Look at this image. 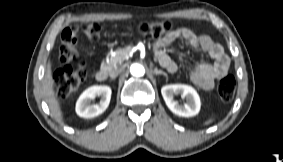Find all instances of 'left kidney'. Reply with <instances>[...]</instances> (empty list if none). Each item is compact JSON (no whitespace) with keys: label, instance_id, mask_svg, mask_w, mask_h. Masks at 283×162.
<instances>
[{"label":"left kidney","instance_id":"left-kidney-1","mask_svg":"<svg viewBox=\"0 0 283 162\" xmlns=\"http://www.w3.org/2000/svg\"><path fill=\"white\" fill-rule=\"evenodd\" d=\"M161 94L167 107L176 115L182 117H192L200 111V98L196 90L184 84H169L161 88ZM180 94L186 102L180 105L174 100V95Z\"/></svg>","mask_w":283,"mask_h":162}]
</instances>
